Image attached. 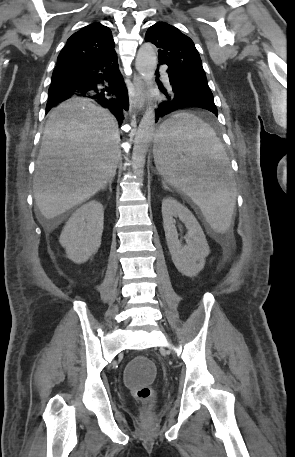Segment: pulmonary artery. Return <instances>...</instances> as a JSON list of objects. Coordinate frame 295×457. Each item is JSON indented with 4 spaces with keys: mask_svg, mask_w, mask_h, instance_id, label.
<instances>
[{
    "mask_svg": "<svg viewBox=\"0 0 295 457\" xmlns=\"http://www.w3.org/2000/svg\"><path fill=\"white\" fill-rule=\"evenodd\" d=\"M162 72H163V78H164L165 80H167V79H168V76H167L165 70L163 69Z\"/></svg>",
    "mask_w": 295,
    "mask_h": 457,
    "instance_id": "pulmonary-artery-1",
    "label": "pulmonary artery"
}]
</instances>
